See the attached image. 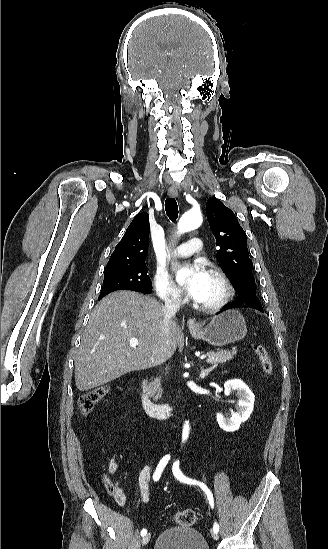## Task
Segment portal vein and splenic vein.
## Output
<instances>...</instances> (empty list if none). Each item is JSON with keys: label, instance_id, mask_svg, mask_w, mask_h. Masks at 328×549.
Wrapping results in <instances>:
<instances>
[{"label": "portal vein and splenic vein", "instance_id": "portal-vein-and-splenic-vein-1", "mask_svg": "<svg viewBox=\"0 0 328 549\" xmlns=\"http://www.w3.org/2000/svg\"><path fill=\"white\" fill-rule=\"evenodd\" d=\"M130 345H132V347H136V345H139V343L137 339H131ZM201 359H208V356H206V354H202Z\"/></svg>", "mask_w": 328, "mask_h": 549}]
</instances>
